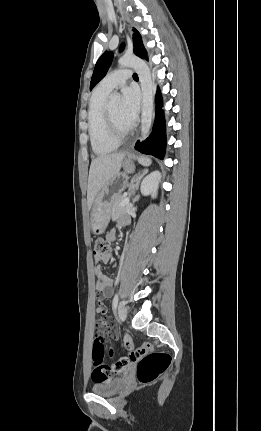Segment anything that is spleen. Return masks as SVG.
Wrapping results in <instances>:
<instances>
[{
    "mask_svg": "<svg viewBox=\"0 0 261 431\" xmlns=\"http://www.w3.org/2000/svg\"><path fill=\"white\" fill-rule=\"evenodd\" d=\"M151 162H150V160L149 159H147L146 161H145V164L146 165H149Z\"/></svg>",
    "mask_w": 261,
    "mask_h": 431,
    "instance_id": "spleen-1",
    "label": "spleen"
}]
</instances>
